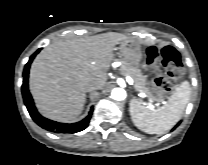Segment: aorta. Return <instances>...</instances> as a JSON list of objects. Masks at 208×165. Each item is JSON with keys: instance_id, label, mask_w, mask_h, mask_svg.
<instances>
[{"instance_id": "1", "label": "aorta", "mask_w": 208, "mask_h": 165, "mask_svg": "<svg viewBox=\"0 0 208 165\" xmlns=\"http://www.w3.org/2000/svg\"><path fill=\"white\" fill-rule=\"evenodd\" d=\"M111 96L114 100L122 101L126 98V91L123 88H114Z\"/></svg>"}]
</instances>
